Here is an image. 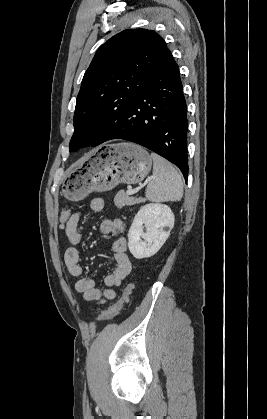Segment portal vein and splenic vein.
Instances as JSON below:
<instances>
[{
  "instance_id": "1",
  "label": "portal vein and splenic vein",
  "mask_w": 267,
  "mask_h": 419,
  "mask_svg": "<svg viewBox=\"0 0 267 419\" xmlns=\"http://www.w3.org/2000/svg\"><path fill=\"white\" fill-rule=\"evenodd\" d=\"M138 191H139V189H135V190L128 189V190H127V194H128V195H132V194L137 193Z\"/></svg>"
}]
</instances>
